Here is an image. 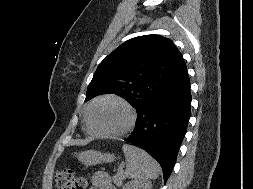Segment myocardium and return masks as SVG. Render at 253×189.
I'll return each instance as SVG.
<instances>
[{
	"mask_svg": "<svg viewBox=\"0 0 253 189\" xmlns=\"http://www.w3.org/2000/svg\"><path fill=\"white\" fill-rule=\"evenodd\" d=\"M107 100H112V101H116V102L120 103L128 111V114H129L128 123L126 124V126L124 128H122L119 131L108 132V133L100 132L92 124L91 115H92L93 108L97 104H99L103 101H107ZM85 121H86V125H87L89 131L92 134H94L98 137H101V138H118V137L125 136L130 131H132V129L134 128L136 121H137V113H136V110L134 109V107L128 101H126L124 98L117 96V95L108 94V95H104V96H101V97L95 99L90 104V106L87 109L86 115H85Z\"/></svg>",
	"mask_w": 253,
	"mask_h": 189,
	"instance_id": "f54148a6",
	"label": "myocardium"
}]
</instances>
